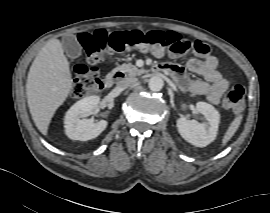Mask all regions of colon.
<instances>
[{"instance_id": "obj_1", "label": "colon", "mask_w": 270, "mask_h": 213, "mask_svg": "<svg viewBox=\"0 0 270 213\" xmlns=\"http://www.w3.org/2000/svg\"><path fill=\"white\" fill-rule=\"evenodd\" d=\"M79 42L86 51L89 65L74 69L72 94L76 98L85 97L103 88L102 79L94 65L106 54L140 50L155 56L188 52L203 56L208 51V46L204 42L185 39L172 31L132 30L109 34L105 30H96L82 33ZM243 104L244 88L240 84H233L224 95L222 106L225 109H241Z\"/></svg>"}]
</instances>
